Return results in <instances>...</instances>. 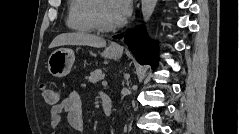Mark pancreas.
<instances>
[{"mask_svg":"<svg viewBox=\"0 0 239 134\" xmlns=\"http://www.w3.org/2000/svg\"><path fill=\"white\" fill-rule=\"evenodd\" d=\"M103 78H104V74L101 69H97L94 72H91L90 75L86 77L88 82H91L93 84H96L99 80Z\"/></svg>","mask_w":239,"mask_h":134,"instance_id":"cf45deb5","label":"pancreas"}]
</instances>
